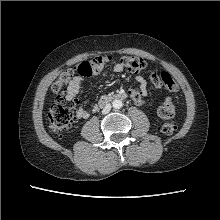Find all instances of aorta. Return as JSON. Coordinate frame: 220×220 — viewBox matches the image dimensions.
Instances as JSON below:
<instances>
[{
    "instance_id": "762f6f07",
    "label": "aorta",
    "mask_w": 220,
    "mask_h": 220,
    "mask_svg": "<svg viewBox=\"0 0 220 220\" xmlns=\"http://www.w3.org/2000/svg\"><path fill=\"white\" fill-rule=\"evenodd\" d=\"M112 106L114 109H120L122 108L123 106V103L120 99H115L113 102H112Z\"/></svg>"
}]
</instances>
